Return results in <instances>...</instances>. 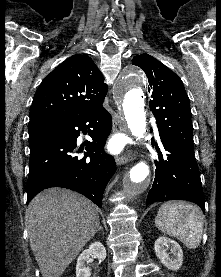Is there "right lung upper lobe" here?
Segmentation results:
<instances>
[{"label": "right lung upper lobe", "instance_id": "right-lung-upper-lobe-1", "mask_svg": "<svg viewBox=\"0 0 221 277\" xmlns=\"http://www.w3.org/2000/svg\"><path fill=\"white\" fill-rule=\"evenodd\" d=\"M108 86L93 60L76 54L45 77L30 110L29 125L40 120L75 116L102 106Z\"/></svg>", "mask_w": 221, "mask_h": 277}]
</instances>
